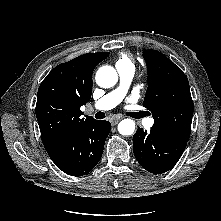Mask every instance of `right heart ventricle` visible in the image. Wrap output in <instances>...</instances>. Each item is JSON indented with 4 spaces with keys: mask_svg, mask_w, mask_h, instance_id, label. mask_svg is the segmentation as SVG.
Listing matches in <instances>:
<instances>
[{
    "mask_svg": "<svg viewBox=\"0 0 221 221\" xmlns=\"http://www.w3.org/2000/svg\"><path fill=\"white\" fill-rule=\"evenodd\" d=\"M131 67L134 68V62L132 57L128 53H121L116 61V68Z\"/></svg>",
    "mask_w": 221,
    "mask_h": 221,
    "instance_id": "e07e8e85",
    "label": "right heart ventricle"
}]
</instances>
